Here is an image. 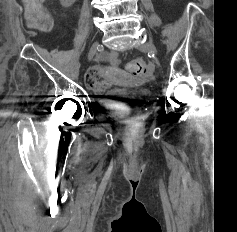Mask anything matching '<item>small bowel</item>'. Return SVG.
Returning a JSON list of instances; mask_svg holds the SVG:
<instances>
[{"label": "small bowel", "mask_w": 237, "mask_h": 232, "mask_svg": "<svg viewBox=\"0 0 237 232\" xmlns=\"http://www.w3.org/2000/svg\"><path fill=\"white\" fill-rule=\"evenodd\" d=\"M112 67V71H116V66L118 65V54L115 51H112L107 56ZM104 75L98 67H92L88 70L85 77L86 85L96 94H103L111 88V82L109 79H101Z\"/></svg>", "instance_id": "obj_1"}]
</instances>
